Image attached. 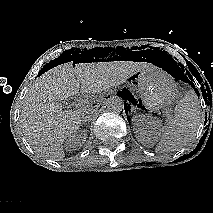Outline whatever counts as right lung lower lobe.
<instances>
[{
	"instance_id": "obj_1",
	"label": "right lung lower lobe",
	"mask_w": 213,
	"mask_h": 213,
	"mask_svg": "<svg viewBox=\"0 0 213 213\" xmlns=\"http://www.w3.org/2000/svg\"><path fill=\"white\" fill-rule=\"evenodd\" d=\"M46 66H47V65H46ZM44 70H45V66L42 68V70H41L40 72L42 73V72H44Z\"/></svg>"
}]
</instances>
